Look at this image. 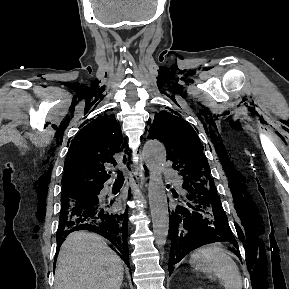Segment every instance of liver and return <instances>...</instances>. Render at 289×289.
Wrapping results in <instances>:
<instances>
[{
	"instance_id": "liver-1",
	"label": "liver",
	"mask_w": 289,
	"mask_h": 289,
	"mask_svg": "<svg viewBox=\"0 0 289 289\" xmlns=\"http://www.w3.org/2000/svg\"><path fill=\"white\" fill-rule=\"evenodd\" d=\"M123 271L120 257L104 238L73 232L60 248L54 289H120Z\"/></svg>"
}]
</instances>
